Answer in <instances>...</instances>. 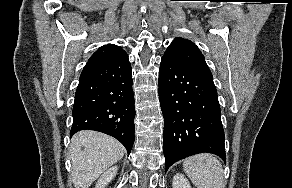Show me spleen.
Segmentation results:
<instances>
[{
	"mask_svg": "<svg viewBox=\"0 0 292 188\" xmlns=\"http://www.w3.org/2000/svg\"><path fill=\"white\" fill-rule=\"evenodd\" d=\"M183 169L196 188H225L222 165L213 155L189 157L184 160Z\"/></svg>",
	"mask_w": 292,
	"mask_h": 188,
	"instance_id": "spleen-1",
	"label": "spleen"
}]
</instances>
